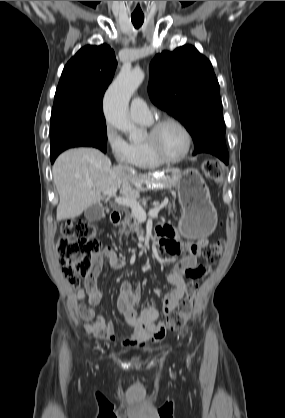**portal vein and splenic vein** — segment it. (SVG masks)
Here are the masks:
<instances>
[{
    "label": "portal vein and splenic vein",
    "mask_w": 285,
    "mask_h": 418,
    "mask_svg": "<svg viewBox=\"0 0 285 418\" xmlns=\"http://www.w3.org/2000/svg\"><path fill=\"white\" fill-rule=\"evenodd\" d=\"M117 188H114L112 190L109 191H105L104 194L111 196V195H116L117 193ZM115 203L118 205H122L125 207H130L132 210V213L134 214L135 218L140 221V222H144L147 219V214L144 211V209L141 207V205L134 199H130V198H125V197H116L115 198ZM168 203V201H163L159 206L154 207L153 209H151L148 213V216L151 218H155L158 216L159 211L166 206V204Z\"/></svg>",
    "instance_id": "obj_1"
}]
</instances>
